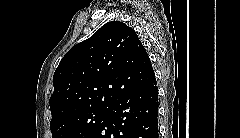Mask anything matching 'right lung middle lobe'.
<instances>
[{"mask_svg":"<svg viewBox=\"0 0 240 138\" xmlns=\"http://www.w3.org/2000/svg\"><path fill=\"white\" fill-rule=\"evenodd\" d=\"M107 111L108 108H91L51 122L52 138H91Z\"/></svg>","mask_w":240,"mask_h":138,"instance_id":"right-lung-middle-lobe-1","label":"right lung middle lobe"}]
</instances>
